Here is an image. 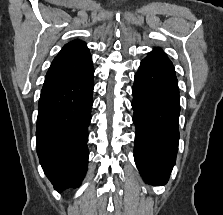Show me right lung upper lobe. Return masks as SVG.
I'll return each instance as SVG.
<instances>
[{"label":"right lung upper lobe","mask_w":223,"mask_h":215,"mask_svg":"<svg viewBox=\"0 0 223 215\" xmlns=\"http://www.w3.org/2000/svg\"><path fill=\"white\" fill-rule=\"evenodd\" d=\"M93 67L91 54L86 43L74 40L62 48L54 58L43 87L53 86L77 79Z\"/></svg>","instance_id":"1"}]
</instances>
